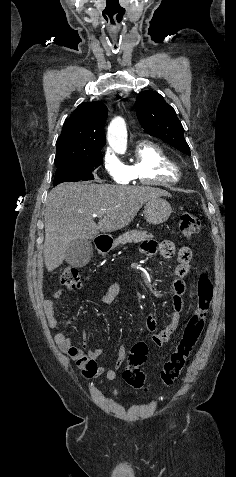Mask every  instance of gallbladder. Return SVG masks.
<instances>
[{"mask_svg": "<svg viewBox=\"0 0 236 477\" xmlns=\"http://www.w3.org/2000/svg\"><path fill=\"white\" fill-rule=\"evenodd\" d=\"M93 255L92 243L88 239H76L68 245L65 252L66 262L73 267H83Z\"/></svg>", "mask_w": 236, "mask_h": 477, "instance_id": "bac80fb5", "label": "gallbladder"}]
</instances>
